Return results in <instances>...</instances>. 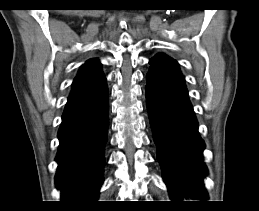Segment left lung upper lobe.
<instances>
[{"label":"left lung upper lobe","instance_id":"1","mask_svg":"<svg viewBox=\"0 0 259 211\" xmlns=\"http://www.w3.org/2000/svg\"><path fill=\"white\" fill-rule=\"evenodd\" d=\"M149 63L151 64V68L147 76L170 84L185 85V78L179 70L178 63L172 58L159 53Z\"/></svg>","mask_w":259,"mask_h":211}]
</instances>
